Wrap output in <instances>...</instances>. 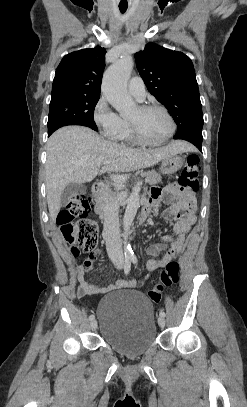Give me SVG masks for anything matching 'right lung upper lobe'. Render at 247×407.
I'll use <instances>...</instances> for the list:
<instances>
[{
  "instance_id": "obj_1",
  "label": "right lung upper lobe",
  "mask_w": 247,
  "mask_h": 407,
  "mask_svg": "<svg viewBox=\"0 0 247 407\" xmlns=\"http://www.w3.org/2000/svg\"><path fill=\"white\" fill-rule=\"evenodd\" d=\"M106 50L83 49L63 57L55 73L52 96L81 94L100 96Z\"/></svg>"
}]
</instances>
